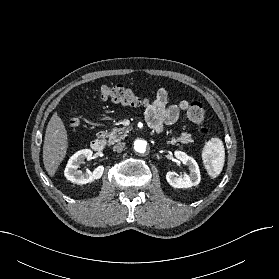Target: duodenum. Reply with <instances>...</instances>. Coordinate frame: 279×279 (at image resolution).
Here are the masks:
<instances>
[{
	"mask_svg": "<svg viewBox=\"0 0 279 279\" xmlns=\"http://www.w3.org/2000/svg\"><path fill=\"white\" fill-rule=\"evenodd\" d=\"M91 147L96 152H103L105 149V141L103 139L97 138L92 141Z\"/></svg>",
	"mask_w": 279,
	"mask_h": 279,
	"instance_id": "1",
	"label": "duodenum"
}]
</instances>
